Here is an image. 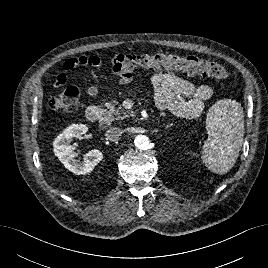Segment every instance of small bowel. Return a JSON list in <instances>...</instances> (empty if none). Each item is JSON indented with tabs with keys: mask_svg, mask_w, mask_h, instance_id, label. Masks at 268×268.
<instances>
[{
	"mask_svg": "<svg viewBox=\"0 0 268 268\" xmlns=\"http://www.w3.org/2000/svg\"><path fill=\"white\" fill-rule=\"evenodd\" d=\"M86 66L91 74L92 83L87 88L88 97H95L101 89V74L104 64L96 56H80L71 58L63 63L65 72ZM117 81L121 85L130 84L133 79L132 69H116ZM61 82L66 80L65 75H61ZM151 84L154 90L155 100L159 106L170 110L174 115L182 118H196L204 111L205 103L214 95L211 86L207 84H194L173 73L159 72L151 76Z\"/></svg>",
	"mask_w": 268,
	"mask_h": 268,
	"instance_id": "obj_1",
	"label": "small bowel"
}]
</instances>
